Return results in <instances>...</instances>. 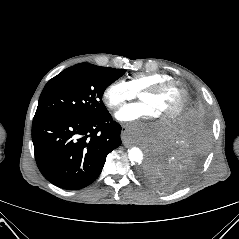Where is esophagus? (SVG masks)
<instances>
[{"label": "esophagus", "instance_id": "1", "mask_svg": "<svg viewBox=\"0 0 239 239\" xmlns=\"http://www.w3.org/2000/svg\"><path fill=\"white\" fill-rule=\"evenodd\" d=\"M126 132H127V127L123 126L122 127V132H121V138L123 139V143L125 146H130L129 142L126 139Z\"/></svg>", "mask_w": 239, "mask_h": 239}]
</instances>
